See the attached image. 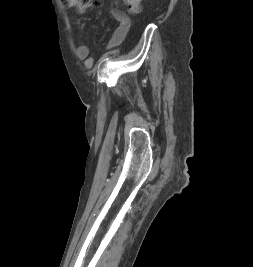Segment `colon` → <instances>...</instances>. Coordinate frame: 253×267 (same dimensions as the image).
Listing matches in <instances>:
<instances>
[{
    "label": "colon",
    "mask_w": 253,
    "mask_h": 267,
    "mask_svg": "<svg viewBox=\"0 0 253 267\" xmlns=\"http://www.w3.org/2000/svg\"><path fill=\"white\" fill-rule=\"evenodd\" d=\"M99 0H63L65 5L88 7L98 3ZM125 11L130 14L138 13L141 9L142 0H122Z\"/></svg>",
    "instance_id": "colon-1"
}]
</instances>
